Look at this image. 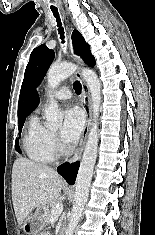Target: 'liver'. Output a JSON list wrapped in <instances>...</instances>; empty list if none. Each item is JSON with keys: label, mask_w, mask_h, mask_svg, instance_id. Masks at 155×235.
I'll list each match as a JSON object with an SVG mask.
<instances>
[{"label": "liver", "mask_w": 155, "mask_h": 235, "mask_svg": "<svg viewBox=\"0 0 155 235\" xmlns=\"http://www.w3.org/2000/svg\"><path fill=\"white\" fill-rule=\"evenodd\" d=\"M63 186L52 168L17 158L12 170V201L18 224L21 225L32 210L57 198Z\"/></svg>", "instance_id": "1"}]
</instances>
